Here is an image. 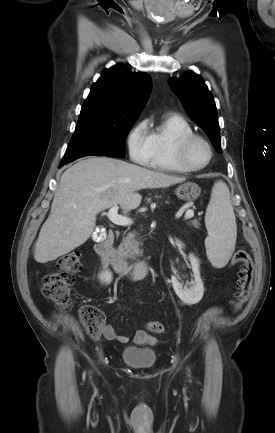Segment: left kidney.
Segmentation results:
<instances>
[{"instance_id": "obj_1", "label": "left kidney", "mask_w": 275, "mask_h": 433, "mask_svg": "<svg viewBox=\"0 0 275 433\" xmlns=\"http://www.w3.org/2000/svg\"><path fill=\"white\" fill-rule=\"evenodd\" d=\"M192 271L194 273V283L190 288L184 287L175 276L171 277V283L177 296L186 304L198 303L204 294V286L200 276L199 260L193 254L189 255Z\"/></svg>"}]
</instances>
